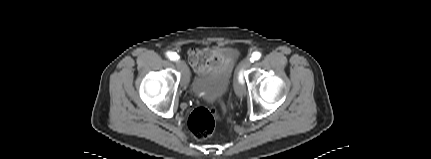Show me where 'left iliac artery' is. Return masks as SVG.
<instances>
[{
    "instance_id": "left-iliac-artery-1",
    "label": "left iliac artery",
    "mask_w": 431,
    "mask_h": 159,
    "mask_svg": "<svg viewBox=\"0 0 431 159\" xmlns=\"http://www.w3.org/2000/svg\"><path fill=\"white\" fill-rule=\"evenodd\" d=\"M260 57H261V53L256 51V52H254V53L252 54V56H251L250 60H251L252 62H254V61H256V60H259V59H260ZM239 81H240L241 83H244L242 73H240V75H239Z\"/></svg>"
}]
</instances>
